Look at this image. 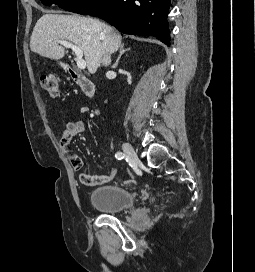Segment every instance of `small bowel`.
Listing matches in <instances>:
<instances>
[{
	"mask_svg": "<svg viewBox=\"0 0 255 272\" xmlns=\"http://www.w3.org/2000/svg\"><path fill=\"white\" fill-rule=\"evenodd\" d=\"M85 127V121L82 119L75 121L69 120L66 122L65 129L60 138V148L75 170H80L83 166V162L73 151L70 143L75 136L81 134L85 130ZM117 172L118 169L116 167H111L108 173L102 175H90L86 172H82L79 175V180L82 184L87 186H99L112 181L116 177Z\"/></svg>",
	"mask_w": 255,
	"mask_h": 272,
	"instance_id": "1",
	"label": "small bowel"
}]
</instances>
